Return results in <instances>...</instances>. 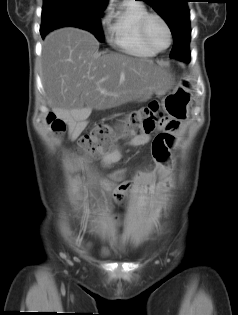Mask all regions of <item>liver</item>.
<instances>
[{
	"instance_id": "obj_1",
	"label": "liver",
	"mask_w": 238,
	"mask_h": 315,
	"mask_svg": "<svg viewBox=\"0 0 238 315\" xmlns=\"http://www.w3.org/2000/svg\"><path fill=\"white\" fill-rule=\"evenodd\" d=\"M98 50L96 38L77 28L46 36L42 82L47 103L58 117L83 120L92 109L120 106L170 82L167 73L149 60Z\"/></svg>"
}]
</instances>
